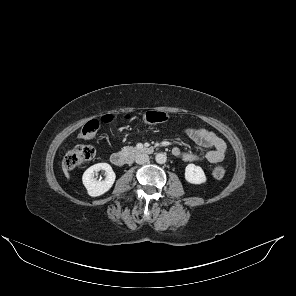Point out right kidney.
<instances>
[{
    "label": "right kidney",
    "mask_w": 296,
    "mask_h": 296,
    "mask_svg": "<svg viewBox=\"0 0 296 296\" xmlns=\"http://www.w3.org/2000/svg\"><path fill=\"white\" fill-rule=\"evenodd\" d=\"M105 170L106 178L103 181H97L94 178L96 172ZM116 175L112 167L107 163H98L89 167L83 174L82 181L87 193L92 197H97L106 193L114 184Z\"/></svg>",
    "instance_id": "1"
}]
</instances>
